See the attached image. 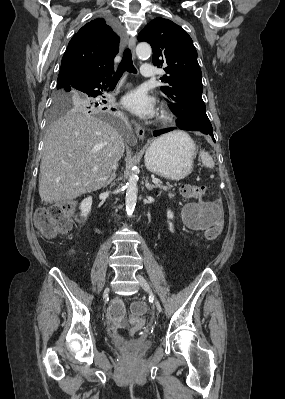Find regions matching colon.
<instances>
[{"label":"colon","mask_w":285,"mask_h":399,"mask_svg":"<svg viewBox=\"0 0 285 399\" xmlns=\"http://www.w3.org/2000/svg\"><path fill=\"white\" fill-rule=\"evenodd\" d=\"M204 191V186L192 184H186L180 190L183 197L195 199L201 198ZM212 209L216 211L217 207L213 206ZM75 212L76 205L74 202H65L54 206L40 208L34 213L33 224L40 234L46 237H52L58 233L67 231L71 227L72 222L76 218ZM222 227L223 223L218 219L217 222L206 231V238L215 239L218 237ZM145 311L146 307L141 301H136L131 305V313L139 321H142Z\"/></svg>","instance_id":"colon-1"}]
</instances>
